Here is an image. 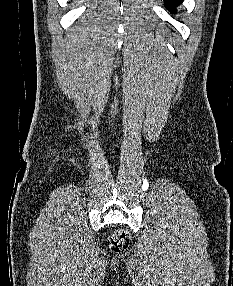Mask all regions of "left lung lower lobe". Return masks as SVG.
<instances>
[{"label": "left lung lower lobe", "mask_w": 233, "mask_h": 286, "mask_svg": "<svg viewBox=\"0 0 233 286\" xmlns=\"http://www.w3.org/2000/svg\"><path fill=\"white\" fill-rule=\"evenodd\" d=\"M183 0H164L165 6L169 10H173L177 5L181 4Z\"/></svg>", "instance_id": "1"}]
</instances>
